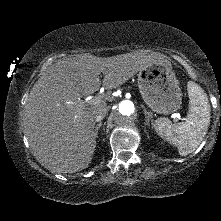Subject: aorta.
I'll return each mask as SVG.
<instances>
[{"label": "aorta", "mask_w": 221, "mask_h": 221, "mask_svg": "<svg viewBox=\"0 0 221 221\" xmlns=\"http://www.w3.org/2000/svg\"><path fill=\"white\" fill-rule=\"evenodd\" d=\"M137 110L130 100L120 101L113 110L115 122L120 126L131 124L136 118Z\"/></svg>", "instance_id": "1"}]
</instances>
